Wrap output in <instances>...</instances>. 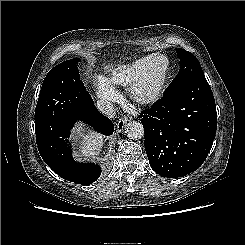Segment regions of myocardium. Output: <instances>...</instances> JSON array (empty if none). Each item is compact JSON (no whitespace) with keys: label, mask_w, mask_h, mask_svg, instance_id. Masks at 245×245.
I'll return each mask as SVG.
<instances>
[{"label":"myocardium","mask_w":245,"mask_h":245,"mask_svg":"<svg viewBox=\"0 0 245 245\" xmlns=\"http://www.w3.org/2000/svg\"><path fill=\"white\" fill-rule=\"evenodd\" d=\"M161 58L165 61L163 73L157 85L150 91L147 90V78L149 67L153 59ZM171 65L168 57L161 53H155L148 57L140 74L130 87V96L132 100L142 106L152 105L156 103L164 94L170 78Z\"/></svg>","instance_id":"obj_1"}]
</instances>
